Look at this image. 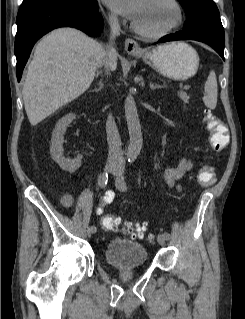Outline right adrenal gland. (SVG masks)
Returning <instances> with one entry per match:
<instances>
[{
    "label": "right adrenal gland",
    "instance_id": "1",
    "mask_svg": "<svg viewBox=\"0 0 245 319\" xmlns=\"http://www.w3.org/2000/svg\"><path fill=\"white\" fill-rule=\"evenodd\" d=\"M103 86H104V84H103L102 80H100L98 83V88H95L92 91L99 92L102 90Z\"/></svg>",
    "mask_w": 245,
    "mask_h": 319
}]
</instances>
